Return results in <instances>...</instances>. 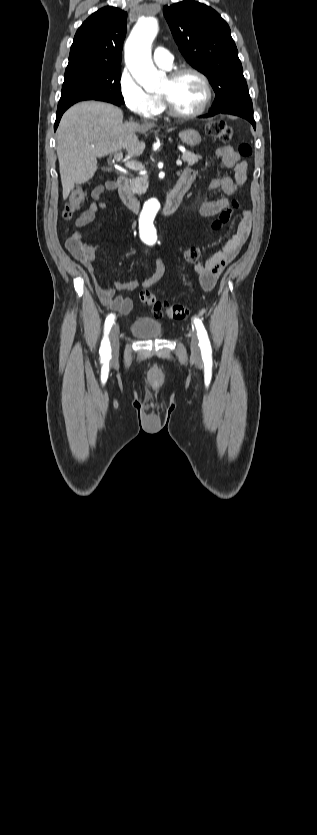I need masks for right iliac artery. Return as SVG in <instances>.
<instances>
[{
    "label": "right iliac artery",
    "mask_w": 317,
    "mask_h": 835,
    "mask_svg": "<svg viewBox=\"0 0 317 835\" xmlns=\"http://www.w3.org/2000/svg\"><path fill=\"white\" fill-rule=\"evenodd\" d=\"M114 318H115V315L111 313L107 316V318L105 320L104 337H103V340L101 342V347H100V355H101V358L104 359V360H109L110 357H111V346H110L108 334H109V331H110V329H111V327L114 323Z\"/></svg>",
    "instance_id": "82829eb1"
}]
</instances>
